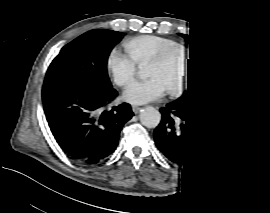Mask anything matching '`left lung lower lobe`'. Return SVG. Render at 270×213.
<instances>
[{"instance_id":"obj_1","label":"left lung lower lobe","mask_w":270,"mask_h":213,"mask_svg":"<svg viewBox=\"0 0 270 213\" xmlns=\"http://www.w3.org/2000/svg\"><path fill=\"white\" fill-rule=\"evenodd\" d=\"M224 104V92L202 100L177 99L167 104L160 109L162 121L154 131L156 145L171 162L184 168L194 166L201 156H211L228 124Z\"/></svg>"}]
</instances>
